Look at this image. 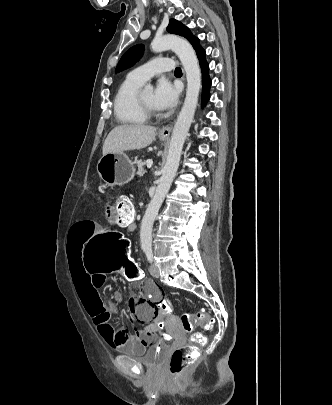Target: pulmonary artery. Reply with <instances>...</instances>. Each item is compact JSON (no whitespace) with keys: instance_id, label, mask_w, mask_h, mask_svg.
<instances>
[{"instance_id":"e3ab8cb5","label":"pulmonary artery","mask_w":332,"mask_h":405,"mask_svg":"<svg viewBox=\"0 0 332 405\" xmlns=\"http://www.w3.org/2000/svg\"><path fill=\"white\" fill-rule=\"evenodd\" d=\"M173 69V61L169 58L159 57L132 70L128 77L144 84L149 78L161 72H170Z\"/></svg>"}]
</instances>
